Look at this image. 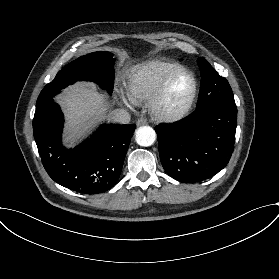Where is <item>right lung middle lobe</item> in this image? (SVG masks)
I'll return each instance as SVG.
<instances>
[{"label":"right lung middle lobe","mask_w":279,"mask_h":279,"mask_svg":"<svg viewBox=\"0 0 279 279\" xmlns=\"http://www.w3.org/2000/svg\"><path fill=\"white\" fill-rule=\"evenodd\" d=\"M113 54L106 51L82 56L60 70L54 80L41 91L36 106L50 101L63 88L76 81H93L112 93L114 85Z\"/></svg>","instance_id":"obj_1"}]
</instances>
